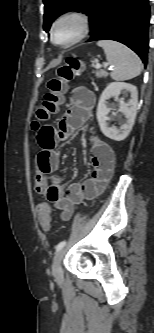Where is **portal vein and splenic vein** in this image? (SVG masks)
Returning a JSON list of instances; mask_svg holds the SVG:
<instances>
[{"label": "portal vein and splenic vein", "instance_id": "portal-vein-and-splenic-vein-1", "mask_svg": "<svg viewBox=\"0 0 154 333\" xmlns=\"http://www.w3.org/2000/svg\"><path fill=\"white\" fill-rule=\"evenodd\" d=\"M96 67H97V68H100V67H101V65L98 63V64L96 65ZM104 67L106 68V67H107V64H105V65H104ZM112 68H113V67H112V66H110L108 69H109V70H112Z\"/></svg>", "mask_w": 154, "mask_h": 333}]
</instances>
